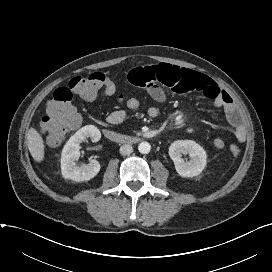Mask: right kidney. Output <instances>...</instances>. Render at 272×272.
Here are the masks:
<instances>
[{"instance_id": "obj_1", "label": "right kidney", "mask_w": 272, "mask_h": 272, "mask_svg": "<svg viewBox=\"0 0 272 272\" xmlns=\"http://www.w3.org/2000/svg\"><path fill=\"white\" fill-rule=\"evenodd\" d=\"M89 137L92 142L100 140L101 133L96 126L86 125L82 127L65 144L61 154V172L65 179L76 182L88 181L94 178L100 171V164L94 159L83 166H77L75 163L80 157V143Z\"/></svg>"}]
</instances>
